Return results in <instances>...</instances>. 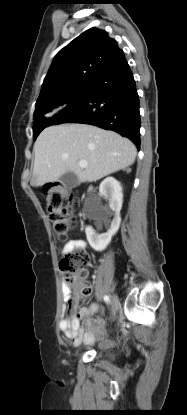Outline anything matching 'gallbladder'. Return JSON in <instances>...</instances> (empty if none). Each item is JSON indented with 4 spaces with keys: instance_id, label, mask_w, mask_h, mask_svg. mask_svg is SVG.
I'll return each mask as SVG.
<instances>
[{
    "instance_id": "1",
    "label": "gallbladder",
    "mask_w": 187,
    "mask_h": 415,
    "mask_svg": "<svg viewBox=\"0 0 187 415\" xmlns=\"http://www.w3.org/2000/svg\"><path fill=\"white\" fill-rule=\"evenodd\" d=\"M59 181L68 189H72L80 185L78 177L73 172H67L62 175Z\"/></svg>"
}]
</instances>
